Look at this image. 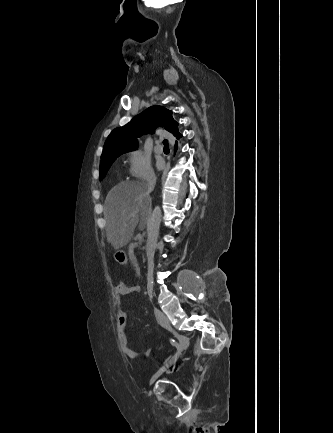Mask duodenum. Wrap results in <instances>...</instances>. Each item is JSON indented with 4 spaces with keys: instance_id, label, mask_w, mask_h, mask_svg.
Listing matches in <instances>:
<instances>
[{
    "instance_id": "1",
    "label": "duodenum",
    "mask_w": 333,
    "mask_h": 433,
    "mask_svg": "<svg viewBox=\"0 0 333 433\" xmlns=\"http://www.w3.org/2000/svg\"><path fill=\"white\" fill-rule=\"evenodd\" d=\"M133 248H134V245L130 244L128 247V254H129V257L131 258V263H133V268H138V263H136V258H135V253H133ZM140 273H141V271L139 270L138 274H140Z\"/></svg>"
}]
</instances>
